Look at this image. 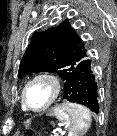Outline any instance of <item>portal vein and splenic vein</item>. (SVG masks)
Listing matches in <instances>:
<instances>
[{
	"mask_svg": "<svg viewBox=\"0 0 117 136\" xmlns=\"http://www.w3.org/2000/svg\"><path fill=\"white\" fill-rule=\"evenodd\" d=\"M52 136H58V132L54 131Z\"/></svg>",
	"mask_w": 117,
	"mask_h": 136,
	"instance_id": "portal-vein-and-splenic-vein-1",
	"label": "portal vein and splenic vein"
}]
</instances>
